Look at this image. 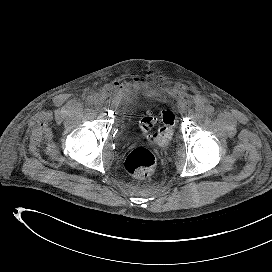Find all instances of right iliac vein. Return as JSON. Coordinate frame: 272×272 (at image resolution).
Here are the masks:
<instances>
[{
	"label": "right iliac vein",
	"mask_w": 272,
	"mask_h": 272,
	"mask_svg": "<svg viewBox=\"0 0 272 272\" xmlns=\"http://www.w3.org/2000/svg\"><path fill=\"white\" fill-rule=\"evenodd\" d=\"M93 105L96 109H98L100 107V101L98 99H94Z\"/></svg>",
	"instance_id": "63e3f726"
}]
</instances>
